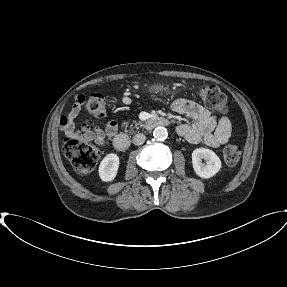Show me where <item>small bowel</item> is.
Masks as SVG:
<instances>
[{"label":"small bowel","instance_id":"c3829d8e","mask_svg":"<svg viewBox=\"0 0 287 287\" xmlns=\"http://www.w3.org/2000/svg\"><path fill=\"white\" fill-rule=\"evenodd\" d=\"M171 108L192 119L191 124H181L177 128L178 134L189 142L220 148L230 140L232 126L228 117L216 118L202 105L185 98L174 100ZM80 111V105L75 102L71 110L60 118V125L65 133L81 136L88 141H95L100 146L107 145L117 135L118 126L115 121H108L101 128L89 124L78 128L75 120Z\"/></svg>","mask_w":287,"mask_h":287}]
</instances>
